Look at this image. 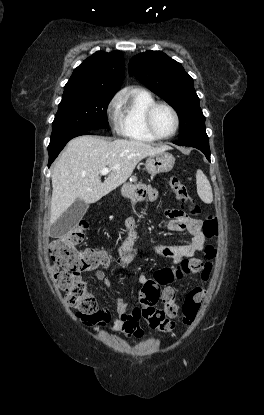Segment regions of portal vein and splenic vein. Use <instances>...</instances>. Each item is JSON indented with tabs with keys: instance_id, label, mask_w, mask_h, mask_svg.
I'll list each match as a JSON object with an SVG mask.
<instances>
[{
	"instance_id": "18ae733b",
	"label": "portal vein and splenic vein",
	"mask_w": 264,
	"mask_h": 415,
	"mask_svg": "<svg viewBox=\"0 0 264 415\" xmlns=\"http://www.w3.org/2000/svg\"><path fill=\"white\" fill-rule=\"evenodd\" d=\"M115 168L116 167H113V168H103L100 173H101V175H107V174H109L111 172V170H113Z\"/></svg>"
}]
</instances>
